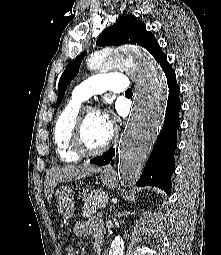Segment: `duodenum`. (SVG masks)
<instances>
[{
  "label": "duodenum",
  "instance_id": "410a0bca",
  "mask_svg": "<svg viewBox=\"0 0 221 255\" xmlns=\"http://www.w3.org/2000/svg\"><path fill=\"white\" fill-rule=\"evenodd\" d=\"M103 249V240L102 238H95L94 239V251L95 255H100Z\"/></svg>",
  "mask_w": 221,
  "mask_h": 255
}]
</instances>
